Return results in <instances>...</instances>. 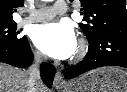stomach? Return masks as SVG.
Masks as SVG:
<instances>
[{"mask_svg":"<svg viewBox=\"0 0 127 92\" xmlns=\"http://www.w3.org/2000/svg\"><path fill=\"white\" fill-rule=\"evenodd\" d=\"M60 92H127V71L102 67L76 78Z\"/></svg>","mask_w":127,"mask_h":92,"instance_id":"obj_1","label":"stomach"}]
</instances>
